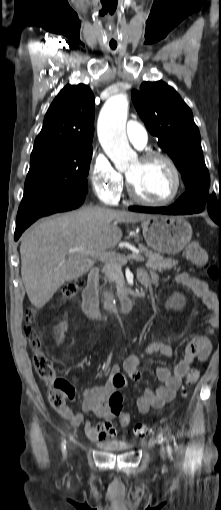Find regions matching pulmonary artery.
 I'll return each mask as SVG.
<instances>
[{"label":"pulmonary artery","instance_id":"pulmonary-artery-1","mask_svg":"<svg viewBox=\"0 0 221 510\" xmlns=\"http://www.w3.org/2000/svg\"><path fill=\"white\" fill-rule=\"evenodd\" d=\"M126 134L129 141L139 149H142L148 141V135L143 125L135 120H129L126 126Z\"/></svg>","mask_w":221,"mask_h":510}]
</instances>
